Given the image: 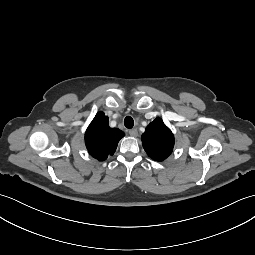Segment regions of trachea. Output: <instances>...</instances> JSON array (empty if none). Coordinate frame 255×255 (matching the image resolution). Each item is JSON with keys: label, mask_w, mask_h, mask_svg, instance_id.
I'll list each match as a JSON object with an SVG mask.
<instances>
[{"label": "trachea", "mask_w": 255, "mask_h": 255, "mask_svg": "<svg viewBox=\"0 0 255 255\" xmlns=\"http://www.w3.org/2000/svg\"><path fill=\"white\" fill-rule=\"evenodd\" d=\"M124 125L126 128L128 129H131L134 125V120L132 117L130 116H127L125 119H124Z\"/></svg>", "instance_id": "trachea-1"}]
</instances>
